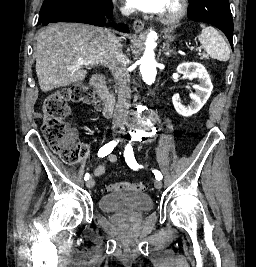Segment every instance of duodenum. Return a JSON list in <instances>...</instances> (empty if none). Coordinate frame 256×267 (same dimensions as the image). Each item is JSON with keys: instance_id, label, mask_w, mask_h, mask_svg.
<instances>
[{"instance_id": "410a0bca", "label": "duodenum", "mask_w": 256, "mask_h": 267, "mask_svg": "<svg viewBox=\"0 0 256 267\" xmlns=\"http://www.w3.org/2000/svg\"><path fill=\"white\" fill-rule=\"evenodd\" d=\"M92 85L97 91V94L104 104L103 115L106 118H111L115 109V99L109 91L106 80L102 76H96L92 80Z\"/></svg>"}]
</instances>
